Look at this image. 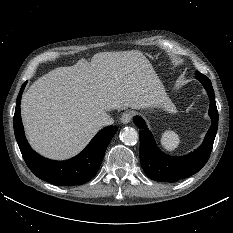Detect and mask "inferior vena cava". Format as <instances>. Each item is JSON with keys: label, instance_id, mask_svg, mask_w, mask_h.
<instances>
[{"label": "inferior vena cava", "instance_id": "obj_1", "mask_svg": "<svg viewBox=\"0 0 233 233\" xmlns=\"http://www.w3.org/2000/svg\"><path fill=\"white\" fill-rule=\"evenodd\" d=\"M113 123H114V120H113V118H111V116L109 114H103L97 120V124L101 127L112 125Z\"/></svg>", "mask_w": 233, "mask_h": 233}]
</instances>
